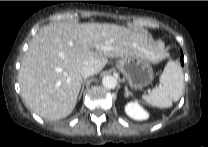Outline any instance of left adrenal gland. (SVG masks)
<instances>
[{"label": "left adrenal gland", "instance_id": "left-adrenal-gland-1", "mask_svg": "<svg viewBox=\"0 0 208 147\" xmlns=\"http://www.w3.org/2000/svg\"><path fill=\"white\" fill-rule=\"evenodd\" d=\"M132 93L128 90V87L125 86V97H129Z\"/></svg>", "mask_w": 208, "mask_h": 147}]
</instances>
